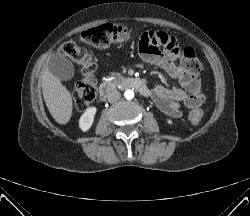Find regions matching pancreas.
Listing matches in <instances>:
<instances>
[{"mask_svg":"<svg viewBox=\"0 0 250 216\" xmlns=\"http://www.w3.org/2000/svg\"><path fill=\"white\" fill-rule=\"evenodd\" d=\"M122 79H124V77L120 73H114V74L111 75L110 84H112L113 86H115Z\"/></svg>","mask_w":250,"mask_h":216,"instance_id":"1","label":"pancreas"}]
</instances>
